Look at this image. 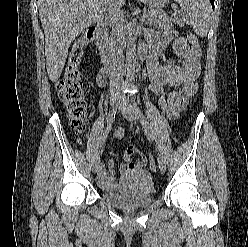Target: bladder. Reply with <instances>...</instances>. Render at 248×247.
Wrapping results in <instances>:
<instances>
[{
  "mask_svg": "<svg viewBox=\"0 0 248 247\" xmlns=\"http://www.w3.org/2000/svg\"><path fill=\"white\" fill-rule=\"evenodd\" d=\"M119 193L102 191V197L112 205L122 208L149 205L156 192L150 172L144 169L131 170Z\"/></svg>",
  "mask_w": 248,
  "mask_h": 247,
  "instance_id": "1",
  "label": "bladder"
}]
</instances>
